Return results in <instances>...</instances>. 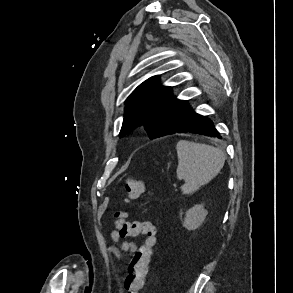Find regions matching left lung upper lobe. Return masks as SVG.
I'll return each instance as SVG.
<instances>
[{
    "mask_svg": "<svg viewBox=\"0 0 293 293\" xmlns=\"http://www.w3.org/2000/svg\"><path fill=\"white\" fill-rule=\"evenodd\" d=\"M125 103L120 137L137 126H144L150 138L167 135L189 107L187 101L171 95V87L159 85L158 76L140 84Z\"/></svg>",
    "mask_w": 293,
    "mask_h": 293,
    "instance_id": "left-lung-upper-lobe-1",
    "label": "left lung upper lobe"
}]
</instances>
